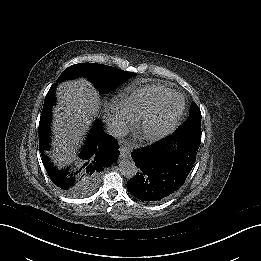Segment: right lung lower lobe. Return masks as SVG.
<instances>
[{
  "instance_id": "right-lung-lower-lobe-1",
  "label": "right lung lower lobe",
  "mask_w": 261,
  "mask_h": 261,
  "mask_svg": "<svg viewBox=\"0 0 261 261\" xmlns=\"http://www.w3.org/2000/svg\"><path fill=\"white\" fill-rule=\"evenodd\" d=\"M56 83L52 85L48 91L39 123V148L43 158V164L52 182L66 193H72L76 188L77 179L69 174L67 170L54 167L46 158L45 153L49 149L51 138L49 133V124L51 117V107L54 103V92ZM119 145L116 140L102 131V124L97 121L93 126L86 140L85 146L82 149L79 159L85 160L87 166L84 169V174L91 180H95L98 172L102 171L105 166H111L119 156ZM92 181V182H93Z\"/></svg>"
}]
</instances>
